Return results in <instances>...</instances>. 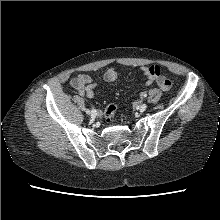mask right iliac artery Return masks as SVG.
<instances>
[{"label": "right iliac artery", "mask_w": 220, "mask_h": 220, "mask_svg": "<svg viewBox=\"0 0 220 220\" xmlns=\"http://www.w3.org/2000/svg\"><path fill=\"white\" fill-rule=\"evenodd\" d=\"M86 113H87V114H90V113H91V111H90L89 109H87V110H86Z\"/></svg>", "instance_id": "1"}]
</instances>
